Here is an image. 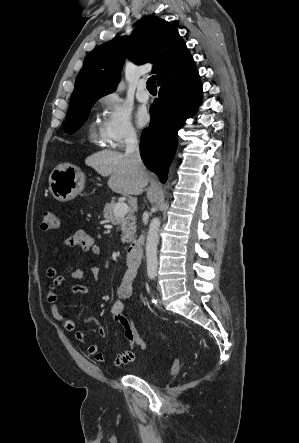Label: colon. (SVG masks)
<instances>
[{"label": "colon", "instance_id": "colon-1", "mask_svg": "<svg viewBox=\"0 0 299 443\" xmlns=\"http://www.w3.org/2000/svg\"><path fill=\"white\" fill-rule=\"evenodd\" d=\"M42 229L44 230H52L58 227V218L53 211H45L43 213V221H42ZM123 324L126 329L127 336L129 340L140 350L146 351L148 346L144 339L140 336L137 329L135 328L131 318L126 315L123 318ZM180 369V362L175 360L171 367L172 373H177Z\"/></svg>", "mask_w": 299, "mask_h": 443}]
</instances>
